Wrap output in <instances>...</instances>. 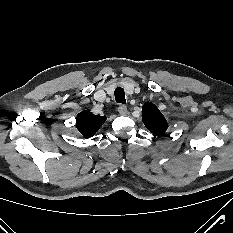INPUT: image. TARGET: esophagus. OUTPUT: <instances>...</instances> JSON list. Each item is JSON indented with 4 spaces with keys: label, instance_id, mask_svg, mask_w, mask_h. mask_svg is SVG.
<instances>
[{
    "label": "esophagus",
    "instance_id": "34e87169",
    "mask_svg": "<svg viewBox=\"0 0 233 233\" xmlns=\"http://www.w3.org/2000/svg\"><path fill=\"white\" fill-rule=\"evenodd\" d=\"M118 112L120 115H126L128 112L127 107L125 105H120L118 107Z\"/></svg>",
    "mask_w": 233,
    "mask_h": 233
}]
</instances>
